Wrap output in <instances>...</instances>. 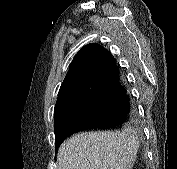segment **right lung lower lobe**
I'll return each instance as SVG.
<instances>
[{"label":"right lung lower lobe","mask_w":177,"mask_h":169,"mask_svg":"<svg viewBox=\"0 0 177 169\" xmlns=\"http://www.w3.org/2000/svg\"><path fill=\"white\" fill-rule=\"evenodd\" d=\"M89 100L75 116L55 128L56 151L73 133L90 129H114L132 121L136 110L125 78L112 60L88 81Z\"/></svg>","instance_id":"98d812e1"}]
</instances>
